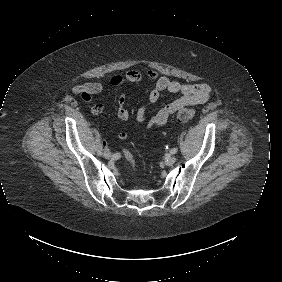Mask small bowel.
Masks as SVG:
<instances>
[{
  "mask_svg": "<svg viewBox=\"0 0 282 282\" xmlns=\"http://www.w3.org/2000/svg\"><path fill=\"white\" fill-rule=\"evenodd\" d=\"M154 81L155 84L149 92L148 100L145 105L136 112V120L139 123H146L147 128H159L167 123L169 118L174 115L175 107L180 103H193L195 105L206 102L211 95V87L207 84H183L172 81L165 76H160L156 70H148L144 74L138 71H129L123 75H115L111 78L110 84L114 87H120L133 83H138L142 80ZM103 90V85L100 83H87L77 85L72 88L75 95H79L82 99L86 97L91 100L95 95ZM163 93L179 94V97L166 104L155 114L148 116L150 108L159 100ZM104 105L97 103L91 108L93 115H99L103 112ZM117 115L122 120H127L130 116V111L126 105L125 95L120 93L117 99ZM120 140L127 138V132L121 131L118 134Z\"/></svg>",
  "mask_w": 282,
  "mask_h": 282,
  "instance_id": "small-bowel-1",
  "label": "small bowel"
}]
</instances>
